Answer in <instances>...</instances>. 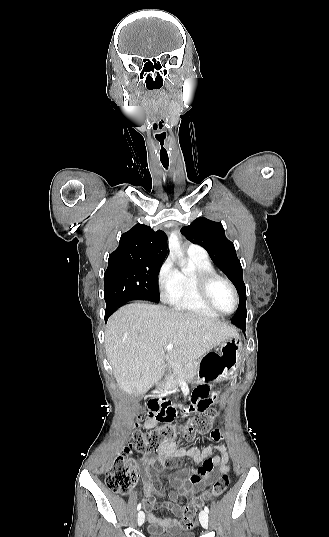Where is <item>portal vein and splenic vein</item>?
I'll list each match as a JSON object with an SVG mask.
<instances>
[{
    "label": "portal vein and splenic vein",
    "mask_w": 329,
    "mask_h": 537,
    "mask_svg": "<svg viewBox=\"0 0 329 537\" xmlns=\"http://www.w3.org/2000/svg\"><path fill=\"white\" fill-rule=\"evenodd\" d=\"M172 348H173V344H172V343H170V344H168V345L166 346V349H167V350H170V349H172Z\"/></svg>",
    "instance_id": "18ae733b"
}]
</instances>
